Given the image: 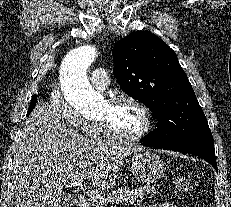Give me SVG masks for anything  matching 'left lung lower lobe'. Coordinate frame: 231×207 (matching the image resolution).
I'll use <instances>...</instances> for the list:
<instances>
[{
    "mask_svg": "<svg viewBox=\"0 0 231 207\" xmlns=\"http://www.w3.org/2000/svg\"><path fill=\"white\" fill-rule=\"evenodd\" d=\"M141 142L142 145L147 147L163 148V149H168V150H173L183 153L194 154L204 159L205 161L209 162L215 168V170L218 171L213 139H207V138L194 139L179 144L164 145V146L150 142L148 139H142Z\"/></svg>",
    "mask_w": 231,
    "mask_h": 207,
    "instance_id": "1",
    "label": "left lung lower lobe"
}]
</instances>
